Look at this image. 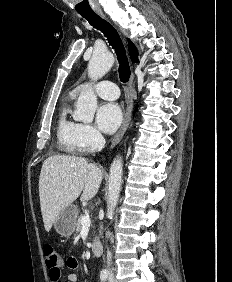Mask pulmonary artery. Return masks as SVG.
<instances>
[{"mask_svg":"<svg viewBox=\"0 0 232 282\" xmlns=\"http://www.w3.org/2000/svg\"><path fill=\"white\" fill-rule=\"evenodd\" d=\"M89 87H92L96 94L103 99L115 100L119 97L118 86L111 81H101L93 85L90 83H83L73 90V95L76 96Z\"/></svg>","mask_w":232,"mask_h":282,"instance_id":"1","label":"pulmonary artery"}]
</instances>
